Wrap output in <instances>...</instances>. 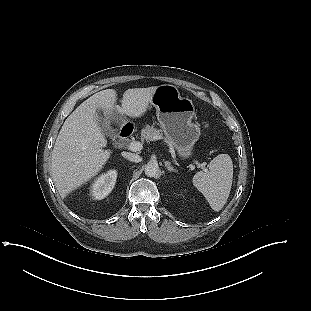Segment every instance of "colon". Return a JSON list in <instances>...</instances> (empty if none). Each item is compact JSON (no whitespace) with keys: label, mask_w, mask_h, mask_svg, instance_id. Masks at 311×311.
<instances>
[{"label":"colon","mask_w":311,"mask_h":311,"mask_svg":"<svg viewBox=\"0 0 311 311\" xmlns=\"http://www.w3.org/2000/svg\"><path fill=\"white\" fill-rule=\"evenodd\" d=\"M203 126H204V127H206V126H207V124H206V123H203Z\"/></svg>","instance_id":"1"}]
</instances>
